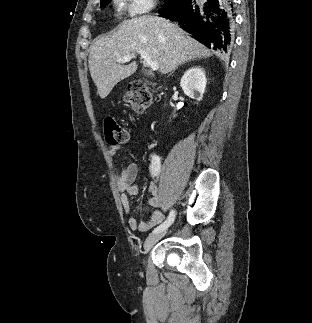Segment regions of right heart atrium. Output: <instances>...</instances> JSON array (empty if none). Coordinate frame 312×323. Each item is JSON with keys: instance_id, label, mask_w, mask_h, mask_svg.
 <instances>
[{"instance_id": "right-heart-atrium-1", "label": "right heart atrium", "mask_w": 312, "mask_h": 323, "mask_svg": "<svg viewBox=\"0 0 312 323\" xmlns=\"http://www.w3.org/2000/svg\"><path fill=\"white\" fill-rule=\"evenodd\" d=\"M117 5H122L124 13H153L161 0H117Z\"/></svg>"}]
</instances>
